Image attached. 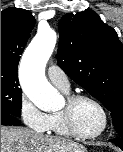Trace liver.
<instances>
[{
    "label": "liver",
    "instance_id": "6515ba94",
    "mask_svg": "<svg viewBox=\"0 0 123 152\" xmlns=\"http://www.w3.org/2000/svg\"><path fill=\"white\" fill-rule=\"evenodd\" d=\"M1 152H87L76 142L36 133L27 128L1 126Z\"/></svg>",
    "mask_w": 123,
    "mask_h": 152
}]
</instances>
